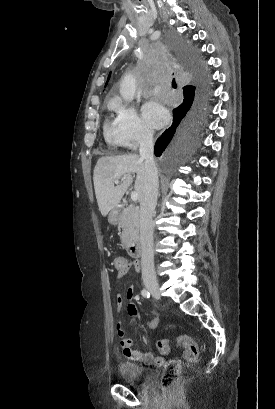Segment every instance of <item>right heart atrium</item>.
<instances>
[{"mask_svg": "<svg viewBox=\"0 0 275 409\" xmlns=\"http://www.w3.org/2000/svg\"><path fill=\"white\" fill-rule=\"evenodd\" d=\"M115 109V123L127 152H135L140 145L152 140V126L135 109L120 104H117Z\"/></svg>", "mask_w": 275, "mask_h": 409, "instance_id": "d8ad5b80", "label": "right heart atrium"}]
</instances>
